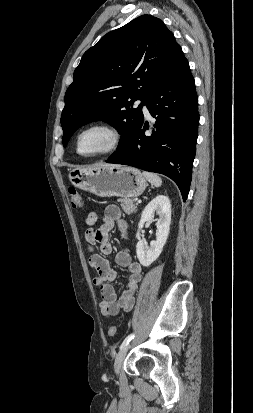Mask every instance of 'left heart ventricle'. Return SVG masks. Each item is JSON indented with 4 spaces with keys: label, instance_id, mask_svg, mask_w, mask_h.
Here are the masks:
<instances>
[{
    "label": "left heart ventricle",
    "instance_id": "obj_1",
    "mask_svg": "<svg viewBox=\"0 0 253 413\" xmlns=\"http://www.w3.org/2000/svg\"><path fill=\"white\" fill-rule=\"evenodd\" d=\"M109 141L108 132L102 129H92L80 137L79 151L83 154H93L104 149Z\"/></svg>",
    "mask_w": 253,
    "mask_h": 413
}]
</instances>
